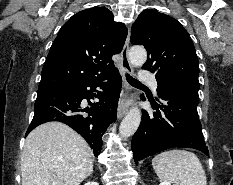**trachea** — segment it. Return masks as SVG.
Returning a JSON list of instances; mask_svg holds the SVG:
<instances>
[{
    "label": "trachea",
    "instance_id": "1",
    "mask_svg": "<svg viewBox=\"0 0 233 185\" xmlns=\"http://www.w3.org/2000/svg\"><path fill=\"white\" fill-rule=\"evenodd\" d=\"M126 79L130 84H141L138 80L134 79L129 74H126Z\"/></svg>",
    "mask_w": 233,
    "mask_h": 185
}]
</instances>
